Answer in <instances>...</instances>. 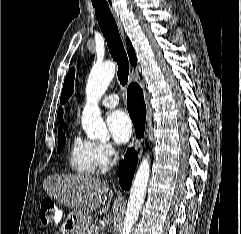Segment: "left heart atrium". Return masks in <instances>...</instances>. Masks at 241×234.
Listing matches in <instances>:
<instances>
[{
    "label": "left heart atrium",
    "instance_id": "39dd6f15",
    "mask_svg": "<svg viewBox=\"0 0 241 234\" xmlns=\"http://www.w3.org/2000/svg\"><path fill=\"white\" fill-rule=\"evenodd\" d=\"M107 125L115 142L123 144L131 135L133 125L128 114L122 110H115L107 117Z\"/></svg>",
    "mask_w": 241,
    "mask_h": 234
}]
</instances>
